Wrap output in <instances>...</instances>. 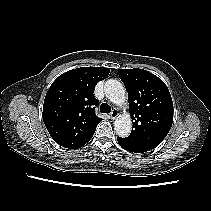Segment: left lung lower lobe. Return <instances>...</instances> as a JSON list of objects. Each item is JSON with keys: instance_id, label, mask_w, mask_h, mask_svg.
Returning a JSON list of instances; mask_svg holds the SVG:
<instances>
[{"instance_id": "1", "label": "left lung lower lobe", "mask_w": 211, "mask_h": 211, "mask_svg": "<svg viewBox=\"0 0 211 211\" xmlns=\"http://www.w3.org/2000/svg\"><path fill=\"white\" fill-rule=\"evenodd\" d=\"M118 143H119V145L121 146V147H123L124 149H125V146H124V144H123V141L121 140V138L120 137H118ZM127 151H129V150H127ZM131 152V151H130ZM136 153V152H135Z\"/></svg>"}]
</instances>
